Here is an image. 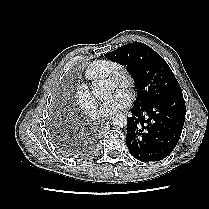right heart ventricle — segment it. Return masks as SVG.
<instances>
[{"label":"right heart ventricle","instance_id":"e07e8e85","mask_svg":"<svg viewBox=\"0 0 209 209\" xmlns=\"http://www.w3.org/2000/svg\"><path fill=\"white\" fill-rule=\"evenodd\" d=\"M120 68L115 61L101 59L92 62L85 70V78L90 81H98L109 78Z\"/></svg>","mask_w":209,"mask_h":209}]
</instances>
